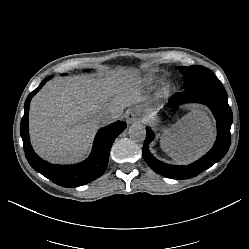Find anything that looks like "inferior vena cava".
<instances>
[{
  "label": "inferior vena cava",
  "instance_id": "obj_1",
  "mask_svg": "<svg viewBox=\"0 0 249 249\" xmlns=\"http://www.w3.org/2000/svg\"><path fill=\"white\" fill-rule=\"evenodd\" d=\"M113 120H114V117H112V115L102 114L99 117V125L100 126L107 125V124L111 123Z\"/></svg>",
  "mask_w": 249,
  "mask_h": 249
}]
</instances>
